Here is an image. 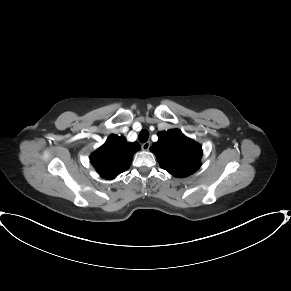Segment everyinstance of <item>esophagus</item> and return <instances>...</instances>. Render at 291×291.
Returning a JSON list of instances; mask_svg holds the SVG:
<instances>
[{
  "instance_id": "1",
  "label": "esophagus",
  "mask_w": 291,
  "mask_h": 291,
  "mask_svg": "<svg viewBox=\"0 0 291 291\" xmlns=\"http://www.w3.org/2000/svg\"><path fill=\"white\" fill-rule=\"evenodd\" d=\"M150 146H151L150 142H145L142 144L141 148L144 151H148L150 149Z\"/></svg>"
}]
</instances>
